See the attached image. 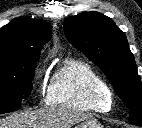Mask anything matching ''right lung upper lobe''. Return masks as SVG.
<instances>
[{
  "mask_svg": "<svg viewBox=\"0 0 142 128\" xmlns=\"http://www.w3.org/2000/svg\"><path fill=\"white\" fill-rule=\"evenodd\" d=\"M49 23L31 18H16L0 30V74H14L25 64L39 59L42 47L50 40Z\"/></svg>",
  "mask_w": 142,
  "mask_h": 128,
  "instance_id": "right-lung-upper-lobe-1",
  "label": "right lung upper lobe"
}]
</instances>
